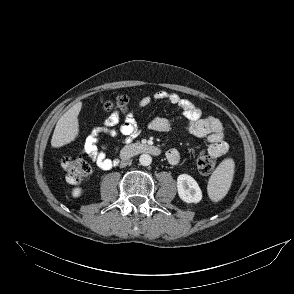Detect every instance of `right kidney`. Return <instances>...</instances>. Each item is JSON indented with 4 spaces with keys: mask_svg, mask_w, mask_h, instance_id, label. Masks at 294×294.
<instances>
[{
    "mask_svg": "<svg viewBox=\"0 0 294 294\" xmlns=\"http://www.w3.org/2000/svg\"><path fill=\"white\" fill-rule=\"evenodd\" d=\"M83 190L81 187H75L73 190H72V197L73 198H78L79 196H81Z\"/></svg>",
    "mask_w": 294,
    "mask_h": 294,
    "instance_id": "right-kidney-1",
    "label": "right kidney"
}]
</instances>
